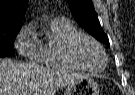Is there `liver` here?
<instances>
[{"label": "liver", "instance_id": "6515ba94", "mask_svg": "<svg viewBox=\"0 0 135 95\" xmlns=\"http://www.w3.org/2000/svg\"><path fill=\"white\" fill-rule=\"evenodd\" d=\"M87 77L38 64L0 59V95H54L57 90Z\"/></svg>", "mask_w": 135, "mask_h": 95}]
</instances>
